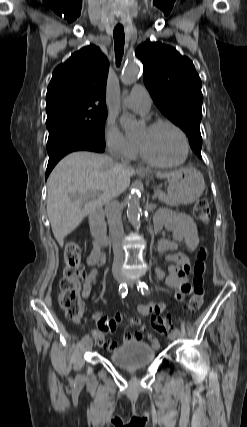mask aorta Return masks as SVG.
<instances>
[{
	"mask_svg": "<svg viewBox=\"0 0 247 427\" xmlns=\"http://www.w3.org/2000/svg\"><path fill=\"white\" fill-rule=\"evenodd\" d=\"M140 72V65L136 60L130 59L124 66L121 73V81L124 85H130L137 80ZM120 125L125 131L126 136L131 137L138 133V123L129 115L123 114L120 117ZM140 198L141 194L138 191H134L130 194L127 201V216L134 229H139L141 225L140 214Z\"/></svg>",
	"mask_w": 247,
	"mask_h": 427,
	"instance_id": "obj_1",
	"label": "aorta"
}]
</instances>
